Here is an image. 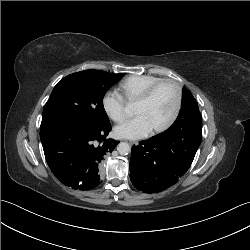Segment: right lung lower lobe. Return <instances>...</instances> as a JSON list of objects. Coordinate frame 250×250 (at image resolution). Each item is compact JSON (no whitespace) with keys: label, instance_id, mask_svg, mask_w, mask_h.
I'll use <instances>...</instances> for the list:
<instances>
[{"label":"right lung lower lobe","instance_id":"obj_1","mask_svg":"<svg viewBox=\"0 0 250 250\" xmlns=\"http://www.w3.org/2000/svg\"><path fill=\"white\" fill-rule=\"evenodd\" d=\"M110 131V123L101 127L54 123L41 128L45 158L57 179L73 189L97 187L102 161L118 144L105 139Z\"/></svg>","mask_w":250,"mask_h":250}]
</instances>
